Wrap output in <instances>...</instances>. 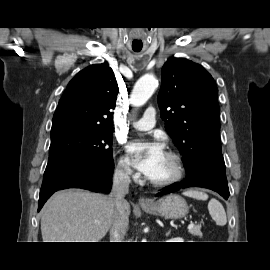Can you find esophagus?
<instances>
[{
    "label": "esophagus",
    "mask_w": 270,
    "mask_h": 270,
    "mask_svg": "<svg viewBox=\"0 0 270 270\" xmlns=\"http://www.w3.org/2000/svg\"><path fill=\"white\" fill-rule=\"evenodd\" d=\"M151 204H152V201L149 200V199H147V198H145V197H141V198L139 199V205L142 206V207H144V206H149V205H151Z\"/></svg>",
    "instance_id": "esophagus-1"
}]
</instances>
